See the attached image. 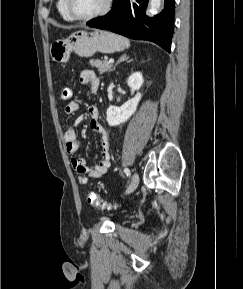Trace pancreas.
Wrapping results in <instances>:
<instances>
[{
  "label": "pancreas",
  "mask_w": 243,
  "mask_h": 289,
  "mask_svg": "<svg viewBox=\"0 0 243 289\" xmlns=\"http://www.w3.org/2000/svg\"><path fill=\"white\" fill-rule=\"evenodd\" d=\"M90 64L92 67H96L100 74H103L108 70L110 71L112 68V64L109 63L107 60H90Z\"/></svg>",
  "instance_id": "pancreas-1"
}]
</instances>
